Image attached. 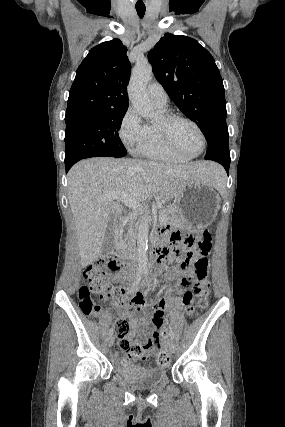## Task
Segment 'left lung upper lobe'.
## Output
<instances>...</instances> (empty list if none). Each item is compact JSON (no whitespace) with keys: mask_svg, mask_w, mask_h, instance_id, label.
<instances>
[{"mask_svg":"<svg viewBox=\"0 0 285 427\" xmlns=\"http://www.w3.org/2000/svg\"><path fill=\"white\" fill-rule=\"evenodd\" d=\"M153 72L207 142L228 134L224 86L212 55L195 39L167 33L148 54Z\"/></svg>","mask_w":285,"mask_h":427,"instance_id":"obj_1","label":"left lung upper lobe"}]
</instances>
